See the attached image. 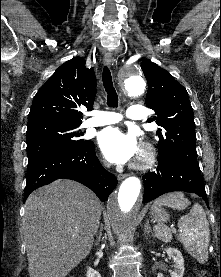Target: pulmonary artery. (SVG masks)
Returning a JSON list of instances; mask_svg holds the SVG:
<instances>
[{"instance_id":"pulmonary-artery-1","label":"pulmonary artery","mask_w":221,"mask_h":277,"mask_svg":"<svg viewBox=\"0 0 221 277\" xmlns=\"http://www.w3.org/2000/svg\"><path fill=\"white\" fill-rule=\"evenodd\" d=\"M147 111L142 105H132L128 108L126 117L131 120H144ZM122 120V115L111 111H94L92 117L85 121V127H96L114 124Z\"/></svg>"}]
</instances>
